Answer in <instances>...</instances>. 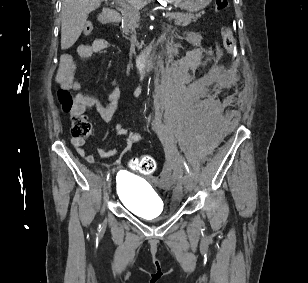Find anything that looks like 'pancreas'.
<instances>
[{"mask_svg": "<svg viewBox=\"0 0 308 283\" xmlns=\"http://www.w3.org/2000/svg\"><path fill=\"white\" fill-rule=\"evenodd\" d=\"M201 14H183V13H176L174 17H168V20H175V25L179 26H186L191 21H195L197 18H200ZM123 28L122 33L125 36H128L130 33L135 32V29L139 28L140 26V16L137 11H126L123 13ZM139 45L138 43L136 44Z\"/></svg>", "mask_w": 308, "mask_h": 283, "instance_id": "obj_1", "label": "pancreas"}]
</instances>
